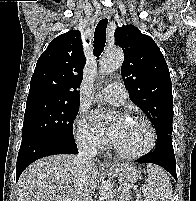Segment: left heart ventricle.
Listing matches in <instances>:
<instances>
[{
  "label": "left heart ventricle",
  "instance_id": "obj_1",
  "mask_svg": "<svg viewBox=\"0 0 196 201\" xmlns=\"http://www.w3.org/2000/svg\"><path fill=\"white\" fill-rule=\"evenodd\" d=\"M148 141L147 128L138 121L125 122L114 143L123 151L134 153L142 150Z\"/></svg>",
  "mask_w": 196,
  "mask_h": 201
}]
</instances>
